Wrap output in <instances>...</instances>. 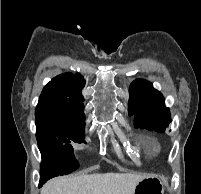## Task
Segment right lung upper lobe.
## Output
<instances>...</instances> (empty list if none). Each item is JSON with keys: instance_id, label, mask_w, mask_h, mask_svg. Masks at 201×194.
<instances>
[{"instance_id": "right-lung-upper-lobe-1", "label": "right lung upper lobe", "mask_w": 201, "mask_h": 194, "mask_svg": "<svg viewBox=\"0 0 201 194\" xmlns=\"http://www.w3.org/2000/svg\"><path fill=\"white\" fill-rule=\"evenodd\" d=\"M84 78L79 74L64 73L53 78L43 89L37 107L55 105L66 110L71 117L85 119L82 111Z\"/></svg>"}]
</instances>
